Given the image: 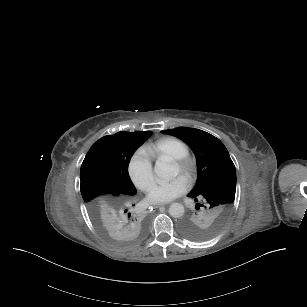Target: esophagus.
<instances>
[{
  "instance_id": "34e87169",
  "label": "esophagus",
  "mask_w": 307,
  "mask_h": 307,
  "mask_svg": "<svg viewBox=\"0 0 307 307\" xmlns=\"http://www.w3.org/2000/svg\"><path fill=\"white\" fill-rule=\"evenodd\" d=\"M152 207L159 208V207H161V205L160 204H154Z\"/></svg>"
}]
</instances>
